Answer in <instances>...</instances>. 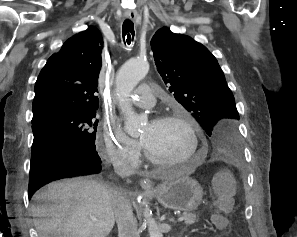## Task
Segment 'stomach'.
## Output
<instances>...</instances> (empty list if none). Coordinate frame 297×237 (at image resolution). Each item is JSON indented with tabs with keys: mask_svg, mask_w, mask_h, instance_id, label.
Instances as JSON below:
<instances>
[{
	"mask_svg": "<svg viewBox=\"0 0 297 237\" xmlns=\"http://www.w3.org/2000/svg\"><path fill=\"white\" fill-rule=\"evenodd\" d=\"M151 195L165 208L193 212L202 202L203 188L197 180L183 176L163 183Z\"/></svg>",
	"mask_w": 297,
	"mask_h": 237,
	"instance_id": "obj_1",
	"label": "stomach"
}]
</instances>
